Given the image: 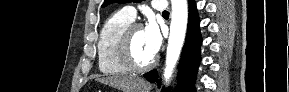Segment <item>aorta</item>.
Here are the masks:
<instances>
[{"instance_id":"obj_1","label":"aorta","mask_w":289,"mask_h":92,"mask_svg":"<svg viewBox=\"0 0 289 92\" xmlns=\"http://www.w3.org/2000/svg\"><path fill=\"white\" fill-rule=\"evenodd\" d=\"M172 13L170 34L166 52V66L164 70V79L166 82L172 76L173 69L180 56L186 34L188 20L187 0H171Z\"/></svg>"}]
</instances>
